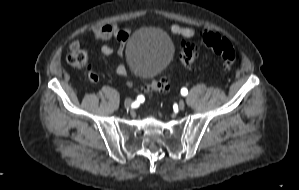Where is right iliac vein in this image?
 Wrapping results in <instances>:
<instances>
[{
  "mask_svg": "<svg viewBox=\"0 0 299 190\" xmlns=\"http://www.w3.org/2000/svg\"><path fill=\"white\" fill-rule=\"evenodd\" d=\"M131 104H132V100H131V99H126V100L124 101V106H125L126 108H130V107H131Z\"/></svg>",
  "mask_w": 299,
  "mask_h": 190,
  "instance_id": "1",
  "label": "right iliac vein"
}]
</instances>
